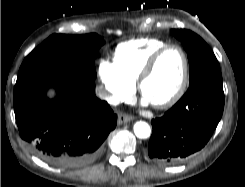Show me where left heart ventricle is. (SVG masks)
<instances>
[{"label": "left heart ventricle", "mask_w": 245, "mask_h": 187, "mask_svg": "<svg viewBox=\"0 0 245 187\" xmlns=\"http://www.w3.org/2000/svg\"><path fill=\"white\" fill-rule=\"evenodd\" d=\"M182 71L183 60L180 52L176 49L168 50L143 84L142 96L151 104L166 100L176 91Z\"/></svg>", "instance_id": "b2bd125f"}]
</instances>
